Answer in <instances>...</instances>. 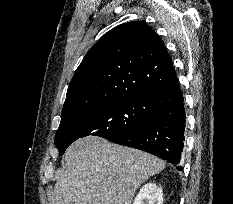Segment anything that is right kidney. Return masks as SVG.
Here are the masks:
<instances>
[{
	"label": "right kidney",
	"instance_id": "ca27d5eb",
	"mask_svg": "<svg viewBox=\"0 0 233 204\" xmlns=\"http://www.w3.org/2000/svg\"><path fill=\"white\" fill-rule=\"evenodd\" d=\"M133 204H163V190L155 183L145 184L134 199Z\"/></svg>",
	"mask_w": 233,
	"mask_h": 204
}]
</instances>
